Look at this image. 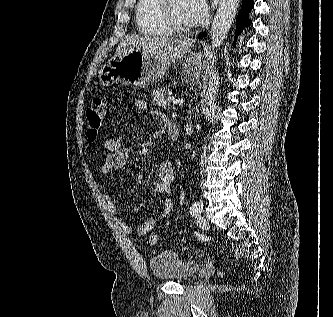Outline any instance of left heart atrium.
<instances>
[{
	"instance_id": "obj_1",
	"label": "left heart atrium",
	"mask_w": 333,
	"mask_h": 317,
	"mask_svg": "<svg viewBox=\"0 0 333 317\" xmlns=\"http://www.w3.org/2000/svg\"><path fill=\"white\" fill-rule=\"evenodd\" d=\"M190 16L194 24L203 22L208 15L206 0H188Z\"/></svg>"
}]
</instances>
